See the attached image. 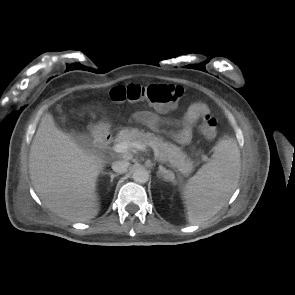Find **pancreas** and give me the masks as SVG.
<instances>
[{"instance_id": "obj_1", "label": "pancreas", "mask_w": 295, "mask_h": 295, "mask_svg": "<svg viewBox=\"0 0 295 295\" xmlns=\"http://www.w3.org/2000/svg\"><path fill=\"white\" fill-rule=\"evenodd\" d=\"M116 143L120 142H141L151 147L157 155L159 161L169 163L173 168L178 169L183 174H188L193 169V161L176 145L165 142L161 137L150 132H144L138 128H125L121 130Z\"/></svg>"}]
</instances>
